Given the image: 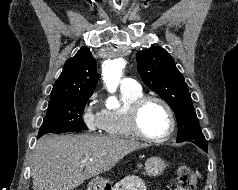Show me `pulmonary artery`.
Segmentation results:
<instances>
[{
	"instance_id": "e3ab8cb5",
	"label": "pulmonary artery",
	"mask_w": 238,
	"mask_h": 190,
	"mask_svg": "<svg viewBox=\"0 0 238 190\" xmlns=\"http://www.w3.org/2000/svg\"><path fill=\"white\" fill-rule=\"evenodd\" d=\"M141 89L139 83L133 78H124L121 81V90H139Z\"/></svg>"
}]
</instances>
